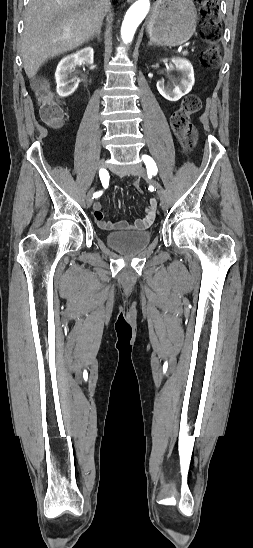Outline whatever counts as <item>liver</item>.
Returning a JSON list of instances; mask_svg holds the SVG:
<instances>
[{
  "mask_svg": "<svg viewBox=\"0 0 253 548\" xmlns=\"http://www.w3.org/2000/svg\"><path fill=\"white\" fill-rule=\"evenodd\" d=\"M108 0H30L24 15L21 55L33 79L50 58L71 51L101 30Z\"/></svg>",
  "mask_w": 253,
  "mask_h": 548,
  "instance_id": "6515ba94",
  "label": "liver"
}]
</instances>
